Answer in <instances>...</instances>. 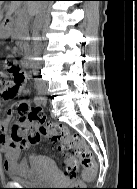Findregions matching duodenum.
<instances>
[{
  "instance_id": "1",
  "label": "duodenum",
  "mask_w": 137,
  "mask_h": 189,
  "mask_svg": "<svg viewBox=\"0 0 137 189\" xmlns=\"http://www.w3.org/2000/svg\"><path fill=\"white\" fill-rule=\"evenodd\" d=\"M5 24V29L8 33H11V29H12V24H13V20L12 19H7L4 22Z\"/></svg>"
}]
</instances>
